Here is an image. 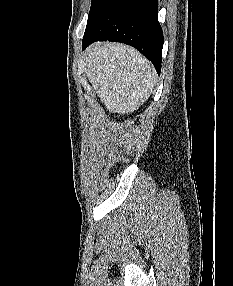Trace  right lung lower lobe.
Returning a JSON list of instances; mask_svg holds the SVG:
<instances>
[{"instance_id": "1", "label": "right lung lower lobe", "mask_w": 233, "mask_h": 286, "mask_svg": "<svg viewBox=\"0 0 233 286\" xmlns=\"http://www.w3.org/2000/svg\"><path fill=\"white\" fill-rule=\"evenodd\" d=\"M157 15L158 0H102L88 17L82 48L95 41L128 44L160 74L164 37Z\"/></svg>"}]
</instances>
